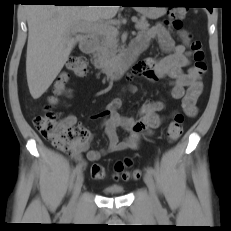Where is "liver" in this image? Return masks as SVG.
I'll return each instance as SVG.
<instances>
[{
    "label": "liver",
    "mask_w": 231,
    "mask_h": 231,
    "mask_svg": "<svg viewBox=\"0 0 231 231\" xmlns=\"http://www.w3.org/2000/svg\"><path fill=\"white\" fill-rule=\"evenodd\" d=\"M119 6L30 5L25 8L28 23L26 74L33 99L40 98L67 62L79 37L72 33L103 20L112 19ZM72 30H77L72 32Z\"/></svg>",
    "instance_id": "liver-1"
}]
</instances>
